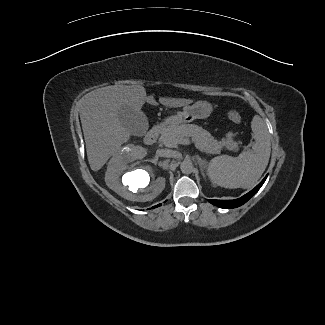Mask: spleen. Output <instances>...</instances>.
<instances>
[{"instance_id":"obj_1","label":"spleen","mask_w":325,"mask_h":325,"mask_svg":"<svg viewBox=\"0 0 325 325\" xmlns=\"http://www.w3.org/2000/svg\"><path fill=\"white\" fill-rule=\"evenodd\" d=\"M252 149L238 157L221 155L208 164V176L213 184L224 188H250L265 171L271 152L270 134L263 119L255 115L251 122Z\"/></svg>"}]
</instances>
